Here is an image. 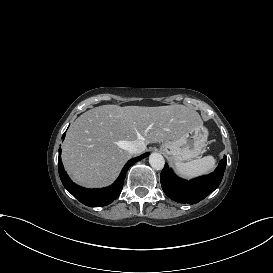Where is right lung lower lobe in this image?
Returning a JSON list of instances; mask_svg holds the SVG:
<instances>
[{"label": "right lung lower lobe", "mask_w": 273, "mask_h": 273, "mask_svg": "<svg viewBox=\"0 0 273 273\" xmlns=\"http://www.w3.org/2000/svg\"><path fill=\"white\" fill-rule=\"evenodd\" d=\"M65 134L66 133H64L62 136L63 139L65 138ZM59 151L61 152V149H59ZM148 155L149 153H145L141 156L129 160L124 166L120 176L115 181V183L110 187L103 189H86L74 184L66 174L60 156L58 158L59 176L64 187L84 205L89 207L106 206L110 204L113 200H115L121 193L124 179L129 167Z\"/></svg>", "instance_id": "obj_1"}]
</instances>
